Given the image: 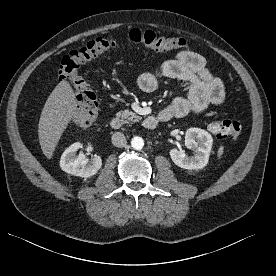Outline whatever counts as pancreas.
Segmentation results:
<instances>
[{
  "label": "pancreas",
  "instance_id": "obj_1",
  "mask_svg": "<svg viewBox=\"0 0 276 276\" xmlns=\"http://www.w3.org/2000/svg\"><path fill=\"white\" fill-rule=\"evenodd\" d=\"M117 116L121 117L122 119H124L126 121H134V122H137L142 118V117L136 115V113H134L128 109L118 112Z\"/></svg>",
  "mask_w": 276,
  "mask_h": 276
}]
</instances>
